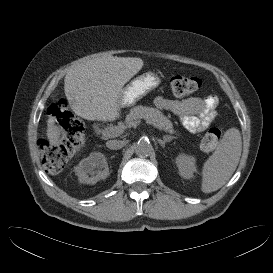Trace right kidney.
<instances>
[{"label":"right kidney","mask_w":273,"mask_h":273,"mask_svg":"<svg viewBox=\"0 0 273 273\" xmlns=\"http://www.w3.org/2000/svg\"><path fill=\"white\" fill-rule=\"evenodd\" d=\"M108 174L109 168L105 156L101 153H93L83 159L77 170L80 182L86 184H95L98 180L106 178Z\"/></svg>","instance_id":"1"}]
</instances>
